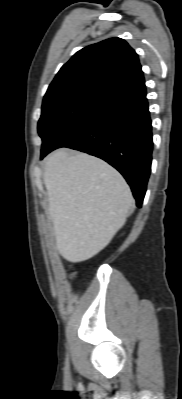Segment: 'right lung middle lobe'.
<instances>
[{"label":"right lung middle lobe","mask_w":182,"mask_h":399,"mask_svg":"<svg viewBox=\"0 0 182 399\" xmlns=\"http://www.w3.org/2000/svg\"><path fill=\"white\" fill-rule=\"evenodd\" d=\"M105 99L89 94H69L43 100L38 133L42 138L41 154L57 135L71 124L99 107Z\"/></svg>","instance_id":"obj_1"}]
</instances>
